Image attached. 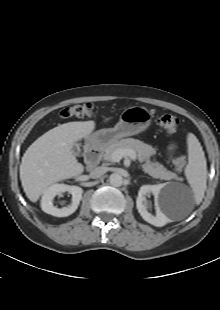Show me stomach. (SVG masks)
<instances>
[{"mask_svg":"<svg viewBox=\"0 0 220 310\" xmlns=\"http://www.w3.org/2000/svg\"><path fill=\"white\" fill-rule=\"evenodd\" d=\"M152 115L144 107H129L120 115L119 122L113 128L96 131L88 137L90 145L107 146L119 139L145 131L151 124Z\"/></svg>","mask_w":220,"mask_h":310,"instance_id":"obj_1","label":"stomach"}]
</instances>
